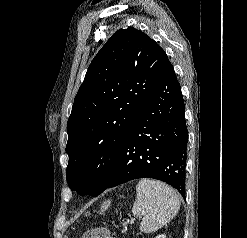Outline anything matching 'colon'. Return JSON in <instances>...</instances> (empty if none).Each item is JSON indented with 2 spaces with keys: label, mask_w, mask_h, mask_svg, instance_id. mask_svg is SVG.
Listing matches in <instances>:
<instances>
[{
  "label": "colon",
  "mask_w": 247,
  "mask_h": 238,
  "mask_svg": "<svg viewBox=\"0 0 247 238\" xmlns=\"http://www.w3.org/2000/svg\"><path fill=\"white\" fill-rule=\"evenodd\" d=\"M81 238H116L107 228L97 227L84 232Z\"/></svg>",
  "instance_id": "obj_1"
}]
</instances>
